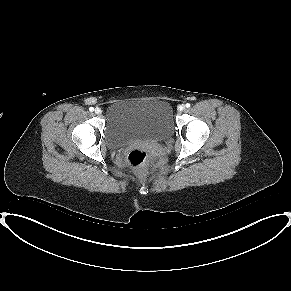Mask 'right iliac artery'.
<instances>
[{
  "label": "right iliac artery",
  "mask_w": 291,
  "mask_h": 291,
  "mask_svg": "<svg viewBox=\"0 0 291 291\" xmlns=\"http://www.w3.org/2000/svg\"><path fill=\"white\" fill-rule=\"evenodd\" d=\"M89 111H90V112H93V111H94V108H93V107H90V108H89Z\"/></svg>",
  "instance_id": "82829eb1"
}]
</instances>
